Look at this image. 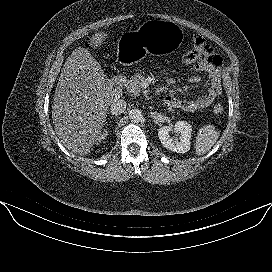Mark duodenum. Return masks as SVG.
Here are the masks:
<instances>
[{"mask_svg":"<svg viewBox=\"0 0 272 272\" xmlns=\"http://www.w3.org/2000/svg\"><path fill=\"white\" fill-rule=\"evenodd\" d=\"M124 81H125V77H124L122 74L116 75V76L114 77V82H115L117 85L123 84Z\"/></svg>","mask_w":272,"mask_h":272,"instance_id":"1","label":"duodenum"}]
</instances>
